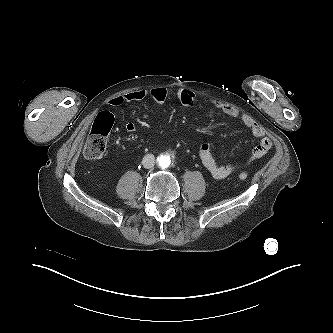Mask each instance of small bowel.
I'll list each match as a JSON object with an SVG mask.
<instances>
[{
    "label": "small bowel",
    "mask_w": 333,
    "mask_h": 333,
    "mask_svg": "<svg viewBox=\"0 0 333 333\" xmlns=\"http://www.w3.org/2000/svg\"><path fill=\"white\" fill-rule=\"evenodd\" d=\"M169 96V92L166 88L157 87L147 90H137L121 96L112 98L109 101V105L112 107H119L129 102L142 101L150 99L156 103H164ZM197 94L186 88H181L177 91V98L179 102L184 106H192L197 100ZM213 105L220 109L226 115L233 118H240L241 122L246 128L250 130L252 135L259 139L258 145L252 150L251 154L244 159H240L231 163H219L213 155V151L210 145L203 144L199 150L200 160L208 171V173L216 179H224L238 171L247 168L254 161L262 158L272 147V142L269 137L266 136L264 129L248 114L240 113L234 107L224 104L218 101H212ZM127 132H135L137 126L133 122L125 124Z\"/></svg>",
    "instance_id": "c3829d8e"
}]
</instances>
